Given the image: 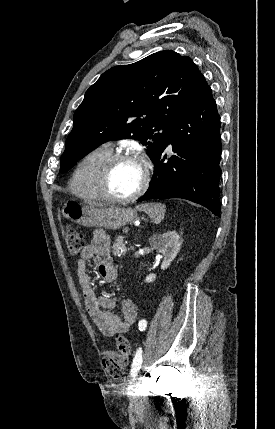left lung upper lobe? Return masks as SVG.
<instances>
[{"label": "left lung upper lobe", "mask_w": 275, "mask_h": 429, "mask_svg": "<svg viewBox=\"0 0 275 429\" xmlns=\"http://www.w3.org/2000/svg\"><path fill=\"white\" fill-rule=\"evenodd\" d=\"M200 75L189 57L171 50L103 73L74 114L60 172L99 145L125 138L139 140L153 161L188 105Z\"/></svg>", "instance_id": "1"}]
</instances>
